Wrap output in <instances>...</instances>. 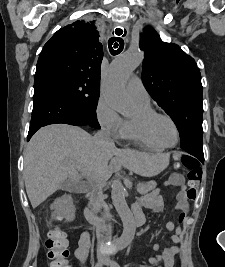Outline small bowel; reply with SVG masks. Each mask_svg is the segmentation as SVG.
Returning a JSON list of instances; mask_svg holds the SVG:
<instances>
[{"mask_svg":"<svg viewBox=\"0 0 225 267\" xmlns=\"http://www.w3.org/2000/svg\"><path fill=\"white\" fill-rule=\"evenodd\" d=\"M166 187H178L180 192L177 197L176 208L178 210H187L188 201L185 191V180L180 174H173L165 183ZM164 209V200L159 189L153 190L147 195L143 196L140 201L135 205V210L141 213L144 217V210L162 211ZM166 229L171 232V240L174 243L169 247H161L159 244L153 246L154 250L158 252V255L151 258V265L156 267H173L174 256L178 253L179 248L177 244L180 242V228H175L172 222H167ZM88 235L85 233L81 237L80 245L75 251V256L79 259H84L86 256L84 245L87 242ZM150 267V266H142Z\"/></svg>","mask_w":225,"mask_h":267,"instance_id":"1","label":"small bowel"}]
</instances>
